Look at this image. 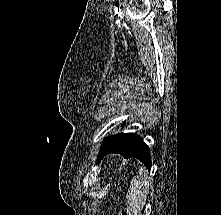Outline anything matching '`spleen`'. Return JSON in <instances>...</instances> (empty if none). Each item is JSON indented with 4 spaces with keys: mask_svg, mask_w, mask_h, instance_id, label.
Returning <instances> with one entry per match:
<instances>
[{
    "mask_svg": "<svg viewBox=\"0 0 221 215\" xmlns=\"http://www.w3.org/2000/svg\"><path fill=\"white\" fill-rule=\"evenodd\" d=\"M150 187V178L145 167L139 170V177L131 180L127 193V210L132 215H141L143 206L145 205Z\"/></svg>",
    "mask_w": 221,
    "mask_h": 215,
    "instance_id": "1",
    "label": "spleen"
}]
</instances>
